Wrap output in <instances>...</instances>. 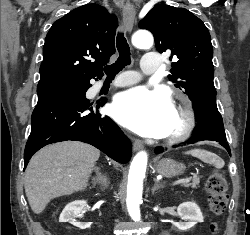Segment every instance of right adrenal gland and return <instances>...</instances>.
<instances>
[{"label":"right adrenal gland","mask_w":250,"mask_h":235,"mask_svg":"<svg viewBox=\"0 0 250 235\" xmlns=\"http://www.w3.org/2000/svg\"><path fill=\"white\" fill-rule=\"evenodd\" d=\"M94 171L96 175L92 177L93 187H95L96 185H99L100 189L103 191L109 185L108 177L101 173L100 167H95Z\"/></svg>","instance_id":"1"}]
</instances>
